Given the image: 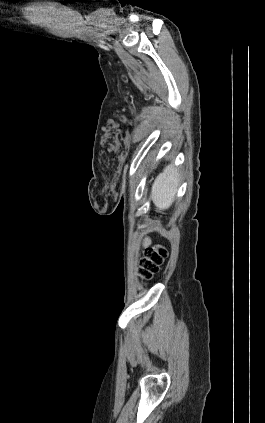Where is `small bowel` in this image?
Wrapping results in <instances>:
<instances>
[{
	"instance_id": "small-bowel-1",
	"label": "small bowel",
	"mask_w": 265,
	"mask_h": 423,
	"mask_svg": "<svg viewBox=\"0 0 265 423\" xmlns=\"http://www.w3.org/2000/svg\"><path fill=\"white\" fill-rule=\"evenodd\" d=\"M146 244L148 245V244H150V239H147L146 240Z\"/></svg>"
}]
</instances>
